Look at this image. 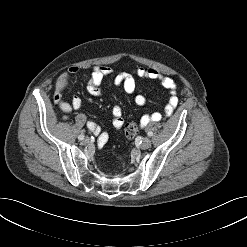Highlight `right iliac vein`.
<instances>
[{"mask_svg": "<svg viewBox=\"0 0 247 247\" xmlns=\"http://www.w3.org/2000/svg\"><path fill=\"white\" fill-rule=\"evenodd\" d=\"M90 143H91V139L88 138V137H86V138L83 140V144H85V145H88V144H90Z\"/></svg>", "mask_w": 247, "mask_h": 247, "instance_id": "1", "label": "right iliac vein"}]
</instances>
